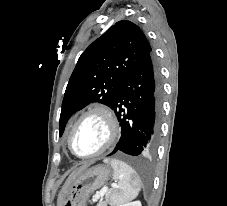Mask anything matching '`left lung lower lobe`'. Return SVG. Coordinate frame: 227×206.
<instances>
[{"label": "left lung lower lobe", "mask_w": 227, "mask_h": 206, "mask_svg": "<svg viewBox=\"0 0 227 206\" xmlns=\"http://www.w3.org/2000/svg\"><path fill=\"white\" fill-rule=\"evenodd\" d=\"M162 83L153 56L147 57L123 82L112 109L121 138L112 155L122 151L138 156L154 151L159 136Z\"/></svg>", "instance_id": "left-lung-lower-lobe-1"}]
</instances>
